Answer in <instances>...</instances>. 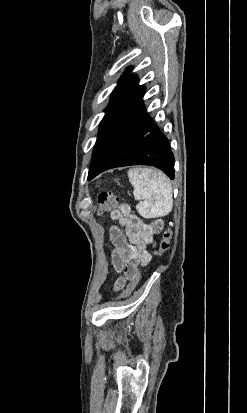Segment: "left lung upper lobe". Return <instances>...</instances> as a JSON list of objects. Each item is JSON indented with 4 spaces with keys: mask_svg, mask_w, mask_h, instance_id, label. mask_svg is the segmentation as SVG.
Instances as JSON below:
<instances>
[{
    "mask_svg": "<svg viewBox=\"0 0 247 413\" xmlns=\"http://www.w3.org/2000/svg\"><path fill=\"white\" fill-rule=\"evenodd\" d=\"M127 70L112 93L111 102L105 109V116L101 121L97 140L124 114H126L143 96L144 86L138 85V79L129 75Z\"/></svg>",
    "mask_w": 247,
    "mask_h": 413,
    "instance_id": "obj_1",
    "label": "left lung upper lobe"
}]
</instances>
